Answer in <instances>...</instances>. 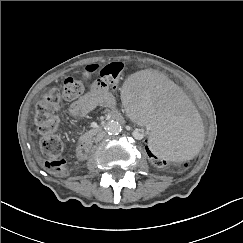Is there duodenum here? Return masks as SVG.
Wrapping results in <instances>:
<instances>
[{
	"instance_id": "obj_1",
	"label": "duodenum",
	"mask_w": 243,
	"mask_h": 243,
	"mask_svg": "<svg viewBox=\"0 0 243 243\" xmlns=\"http://www.w3.org/2000/svg\"><path fill=\"white\" fill-rule=\"evenodd\" d=\"M111 119L114 120V121H119V122L123 120L122 116L119 115V114L113 115ZM88 148L89 147H88V144L87 143H80L77 146V149H76V152H77L78 157L79 158L86 157L87 152H88Z\"/></svg>"
}]
</instances>
